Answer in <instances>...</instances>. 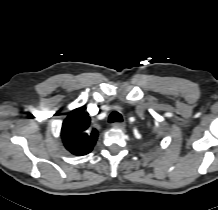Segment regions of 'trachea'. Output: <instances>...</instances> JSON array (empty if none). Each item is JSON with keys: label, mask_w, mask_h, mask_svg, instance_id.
<instances>
[{"label": "trachea", "mask_w": 218, "mask_h": 210, "mask_svg": "<svg viewBox=\"0 0 218 210\" xmlns=\"http://www.w3.org/2000/svg\"><path fill=\"white\" fill-rule=\"evenodd\" d=\"M122 121H123L122 115L117 111H113L109 116V123L122 122Z\"/></svg>", "instance_id": "3493384b"}]
</instances>
